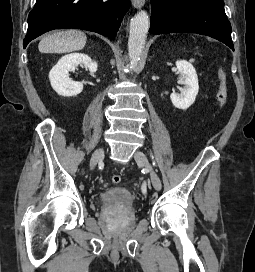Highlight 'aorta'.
<instances>
[{"label": "aorta", "mask_w": 255, "mask_h": 272, "mask_svg": "<svg viewBox=\"0 0 255 272\" xmlns=\"http://www.w3.org/2000/svg\"><path fill=\"white\" fill-rule=\"evenodd\" d=\"M149 25V16L144 10L139 11L131 19L128 39V52L131 68H135L141 60Z\"/></svg>", "instance_id": "aorta-1"}]
</instances>
